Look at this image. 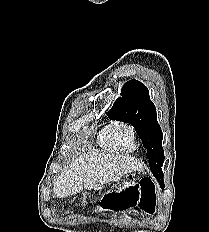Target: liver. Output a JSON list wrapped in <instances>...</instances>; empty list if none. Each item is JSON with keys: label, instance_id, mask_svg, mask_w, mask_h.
Segmentation results:
<instances>
[{"label": "liver", "instance_id": "obj_1", "mask_svg": "<svg viewBox=\"0 0 209 232\" xmlns=\"http://www.w3.org/2000/svg\"><path fill=\"white\" fill-rule=\"evenodd\" d=\"M142 169L143 165L130 156L91 151L80 155L59 175L53 194L55 198H63L83 189H99L127 173Z\"/></svg>", "mask_w": 209, "mask_h": 232}]
</instances>
